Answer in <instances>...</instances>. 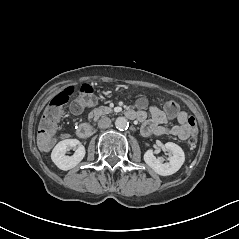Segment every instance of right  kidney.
<instances>
[{
    "instance_id": "ca27d5eb",
    "label": "right kidney",
    "mask_w": 239,
    "mask_h": 239,
    "mask_svg": "<svg viewBox=\"0 0 239 239\" xmlns=\"http://www.w3.org/2000/svg\"><path fill=\"white\" fill-rule=\"evenodd\" d=\"M73 148L75 153L70 156H64V153L70 151ZM85 156V148L81 142L77 139H68L63 141L59 145L55 146L53 150V161L63 171H70L78 165Z\"/></svg>"
}]
</instances>
